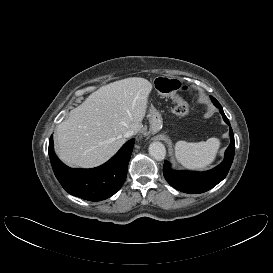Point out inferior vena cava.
<instances>
[{
    "instance_id": "inferior-vena-cava-1",
    "label": "inferior vena cava",
    "mask_w": 273,
    "mask_h": 273,
    "mask_svg": "<svg viewBox=\"0 0 273 273\" xmlns=\"http://www.w3.org/2000/svg\"><path fill=\"white\" fill-rule=\"evenodd\" d=\"M134 134H135L134 130L129 129L124 133V137L129 138V137L133 136Z\"/></svg>"
}]
</instances>
